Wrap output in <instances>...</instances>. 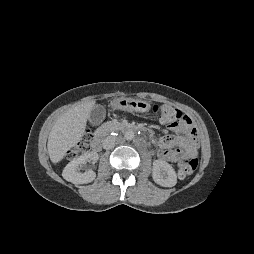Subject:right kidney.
Instances as JSON below:
<instances>
[{
    "mask_svg": "<svg viewBox=\"0 0 254 254\" xmlns=\"http://www.w3.org/2000/svg\"><path fill=\"white\" fill-rule=\"evenodd\" d=\"M99 156L96 152H86L69 162L62 172L65 180L73 184H84L92 182L96 173L92 169L81 171L87 162H97Z\"/></svg>",
    "mask_w": 254,
    "mask_h": 254,
    "instance_id": "right-kidney-1",
    "label": "right kidney"
}]
</instances>
